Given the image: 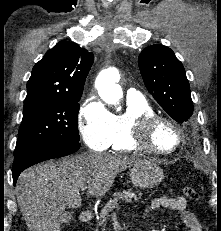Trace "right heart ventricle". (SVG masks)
Returning a JSON list of instances; mask_svg holds the SVG:
<instances>
[{"mask_svg":"<svg viewBox=\"0 0 221 231\" xmlns=\"http://www.w3.org/2000/svg\"><path fill=\"white\" fill-rule=\"evenodd\" d=\"M153 113L146 99H127L126 111L123 114L113 115L112 137L108 147L121 152L141 150L131 139V124L139 117Z\"/></svg>","mask_w":221,"mask_h":231,"instance_id":"e07e8e85","label":"right heart ventricle"}]
</instances>
